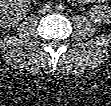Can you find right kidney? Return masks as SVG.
<instances>
[{
  "label": "right kidney",
  "instance_id": "right-kidney-1",
  "mask_svg": "<svg viewBox=\"0 0 111 106\" xmlns=\"http://www.w3.org/2000/svg\"><path fill=\"white\" fill-rule=\"evenodd\" d=\"M17 2L16 0L1 1V23L4 27H11L18 24L23 13L27 9V3ZM23 3V4H22Z\"/></svg>",
  "mask_w": 111,
  "mask_h": 106
}]
</instances>
